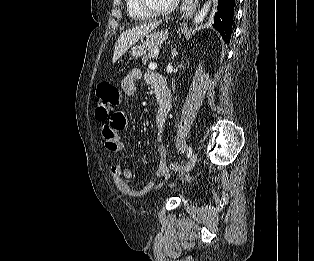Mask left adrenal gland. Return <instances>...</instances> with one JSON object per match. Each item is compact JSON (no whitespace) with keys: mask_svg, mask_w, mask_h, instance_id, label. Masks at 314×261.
<instances>
[{"mask_svg":"<svg viewBox=\"0 0 314 261\" xmlns=\"http://www.w3.org/2000/svg\"><path fill=\"white\" fill-rule=\"evenodd\" d=\"M178 52L176 51V49L173 50L172 52V59H175V57H177Z\"/></svg>","mask_w":314,"mask_h":261,"instance_id":"1","label":"left adrenal gland"}]
</instances>
